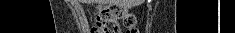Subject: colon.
Here are the masks:
<instances>
[{
  "label": "colon",
  "instance_id": "5ec220e1",
  "mask_svg": "<svg viewBox=\"0 0 235 33\" xmlns=\"http://www.w3.org/2000/svg\"><path fill=\"white\" fill-rule=\"evenodd\" d=\"M120 20L126 26L127 33H136L134 15L115 4L105 6L98 11L91 33H121Z\"/></svg>",
  "mask_w": 235,
  "mask_h": 33
}]
</instances>
